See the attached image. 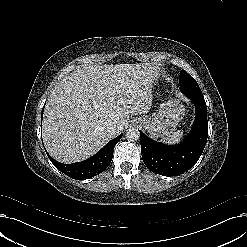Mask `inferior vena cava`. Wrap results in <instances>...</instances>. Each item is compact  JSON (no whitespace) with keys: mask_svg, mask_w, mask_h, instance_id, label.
Listing matches in <instances>:
<instances>
[{"mask_svg":"<svg viewBox=\"0 0 247 247\" xmlns=\"http://www.w3.org/2000/svg\"><path fill=\"white\" fill-rule=\"evenodd\" d=\"M118 128H119V124L117 122H112L108 126V130L111 131V132H116Z\"/></svg>","mask_w":247,"mask_h":247,"instance_id":"1","label":"inferior vena cava"}]
</instances>
